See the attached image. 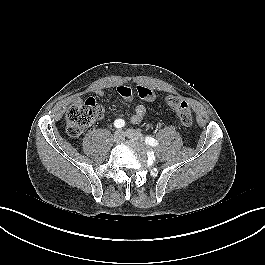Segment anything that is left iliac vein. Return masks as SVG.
<instances>
[{"mask_svg":"<svg viewBox=\"0 0 265 265\" xmlns=\"http://www.w3.org/2000/svg\"><path fill=\"white\" fill-rule=\"evenodd\" d=\"M125 133H126V136L130 139L137 140V141H143L144 140L143 135L136 130L127 129Z\"/></svg>","mask_w":265,"mask_h":265,"instance_id":"obj_1","label":"left iliac vein"}]
</instances>
